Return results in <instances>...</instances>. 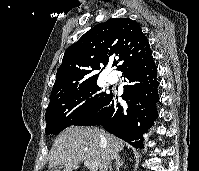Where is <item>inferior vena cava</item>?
I'll use <instances>...</instances> for the list:
<instances>
[{"mask_svg":"<svg viewBox=\"0 0 199 171\" xmlns=\"http://www.w3.org/2000/svg\"><path fill=\"white\" fill-rule=\"evenodd\" d=\"M107 170L112 171L111 160L107 164Z\"/></svg>","mask_w":199,"mask_h":171,"instance_id":"obj_1","label":"inferior vena cava"}]
</instances>
